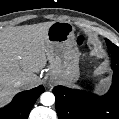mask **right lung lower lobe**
<instances>
[{"label":"right lung lower lobe","instance_id":"98d812e1","mask_svg":"<svg viewBox=\"0 0 119 119\" xmlns=\"http://www.w3.org/2000/svg\"><path fill=\"white\" fill-rule=\"evenodd\" d=\"M45 91L43 86L18 93L13 101L0 109V119H28L37 98Z\"/></svg>","mask_w":119,"mask_h":119}]
</instances>
